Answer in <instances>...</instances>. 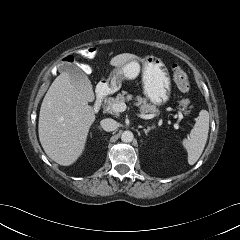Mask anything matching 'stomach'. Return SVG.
Instances as JSON below:
<instances>
[{
    "instance_id": "stomach-1",
    "label": "stomach",
    "mask_w": 240,
    "mask_h": 240,
    "mask_svg": "<svg viewBox=\"0 0 240 240\" xmlns=\"http://www.w3.org/2000/svg\"><path fill=\"white\" fill-rule=\"evenodd\" d=\"M140 71H142L143 93L146 98L157 106L166 103L171 93L168 69L160 58L152 55L131 60L116 68L107 79V84L116 91L121 87L123 80L136 79Z\"/></svg>"
}]
</instances>
